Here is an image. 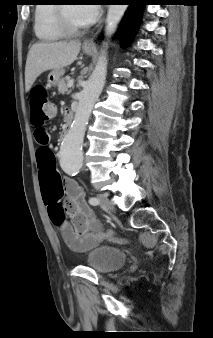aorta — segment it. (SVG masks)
Here are the masks:
<instances>
[{
    "mask_svg": "<svg viewBox=\"0 0 213 338\" xmlns=\"http://www.w3.org/2000/svg\"><path fill=\"white\" fill-rule=\"evenodd\" d=\"M126 9V5H109L105 25V44L115 32ZM106 74L107 58L106 52L103 51L92 75L79 95V102L73 123L61 145L60 165L63 171L67 174L79 172L83 165L82 145L86 126L94 104L104 87Z\"/></svg>",
    "mask_w": 213,
    "mask_h": 338,
    "instance_id": "762f6f07",
    "label": "aorta"
}]
</instances>
